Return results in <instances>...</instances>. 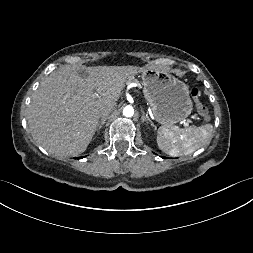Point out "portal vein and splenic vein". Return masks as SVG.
Wrapping results in <instances>:
<instances>
[{
	"label": "portal vein and splenic vein",
	"mask_w": 253,
	"mask_h": 253,
	"mask_svg": "<svg viewBox=\"0 0 253 253\" xmlns=\"http://www.w3.org/2000/svg\"><path fill=\"white\" fill-rule=\"evenodd\" d=\"M93 97H94V98H97V97H98V93H97V92H94ZM184 126H185V127H188V126H189L188 122H184Z\"/></svg>",
	"instance_id": "1"
}]
</instances>
